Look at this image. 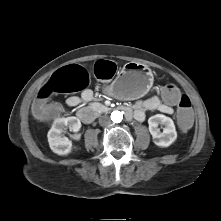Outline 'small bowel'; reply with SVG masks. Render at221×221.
Returning <instances> with one entry per match:
<instances>
[{
	"label": "small bowel",
	"mask_w": 221,
	"mask_h": 221,
	"mask_svg": "<svg viewBox=\"0 0 221 221\" xmlns=\"http://www.w3.org/2000/svg\"><path fill=\"white\" fill-rule=\"evenodd\" d=\"M94 98V93L91 89H85L79 96H71L66 103L70 107H77L84 103L90 102ZM175 106H167L162 103L157 96L150 97L146 100H139L134 104V118L142 122L146 118L147 111H158L164 114H173Z\"/></svg>",
	"instance_id": "obj_1"
}]
</instances>
